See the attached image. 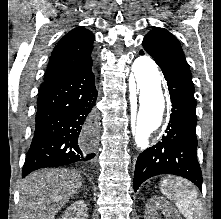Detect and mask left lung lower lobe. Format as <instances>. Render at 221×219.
Listing matches in <instances>:
<instances>
[{
    "instance_id": "1",
    "label": "left lung lower lobe",
    "mask_w": 221,
    "mask_h": 219,
    "mask_svg": "<svg viewBox=\"0 0 221 219\" xmlns=\"http://www.w3.org/2000/svg\"><path fill=\"white\" fill-rule=\"evenodd\" d=\"M144 53V50L140 51L141 55ZM154 61L167 80L172 113L161 141L143 151L137 159L134 191L148 178L160 174L182 176L202 190V173L196 154V101L191 76L171 63L156 58Z\"/></svg>"
}]
</instances>
